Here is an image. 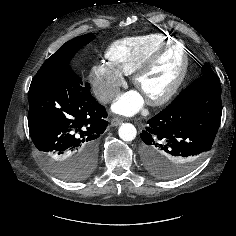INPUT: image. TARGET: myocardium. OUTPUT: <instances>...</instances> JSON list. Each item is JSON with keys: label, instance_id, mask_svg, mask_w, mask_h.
<instances>
[{"label": "myocardium", "instance_id": "f54148a6", "mask_svg": "<svg viewBox=\"0 0 236 236\" xmlns=\"http://www.w3.org/2000/svg\"><path fill=\"white\" fill-rule=\"evenodd\" d=\"M177 46L181 47V53H182L180 71L176 79L172 83V85L165 92H163L158 96L146 97L148 104L152 106H160L168 102L175 96V94L179 91V89L183 85L187 77L188 66H189V57L186 47L182 42L173 41L172 43L158 49L153 54H151L133 73L132 81L133 84L138 88L141 78L154 67V65L163 55H165L167 52L171 51Z\"/></svg>", "mask_w": 236, "mask_h": 236}]
</instances>
